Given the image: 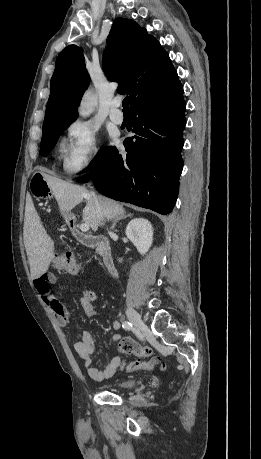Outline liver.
I'll return each instance as SVG.
<instances>
[{"mask_svg": "<svg viewBox=\"0 0 261 459\" xmlns=\"http://www.w3.org/2000/svg\"><path fill=\"white\" fill-rule=\"evenodd\" d=\"M41 173L51 188L52 194L57 200L59 208L63 212L72 210L83 200L86 205L83 209V221L88 224L94 232L102 225L103 218L107 220L124 216L125 209L118 202L103 196H97L102 217L97 212L96 203L92 192L83 186L75 185L47 174L45 170ZM29 214L24 229V243L30 265L31 277L36 279L44 274L54 255V242L46 233L33 204L29 205Z\"/></svg>", "mask_w": 261, "mask_h": 459, "instance_id": "obj_1", "label": "liver"}]
</instances>
